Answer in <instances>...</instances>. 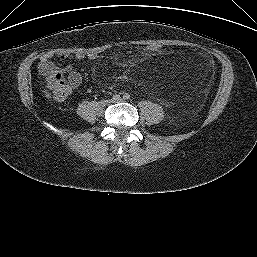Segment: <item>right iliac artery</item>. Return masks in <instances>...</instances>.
<instances>
[{"mask_svg":"<svg viewBox=\"0 0 257 257\" xmlns=\"http://www.w3.org/2000/svg\"><path fill=\"white\" fill-rule=\"evenodd\" d=\"M113 100H117V99H119L120 98V95H118V94H115V95H113Z\"/></svg>","mask_w":257,"mask_h":257,"instance_id":"right-iliac-artery-1","label":"right iliac artery"}]
</instances>
